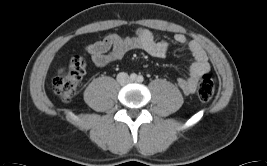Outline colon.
Masks as SVG:
<instances>
[{"label":"colon","mask_w":267,"mask_h":166,"mask_svg":"<svg viewBox=\"0 0 267 166\" xmlns=\"http://www.w3.org/2000/svg\"><path fill=\"white\" fill-rule=\"evenodd\" d=\"M86 71V63L81 57H74L69 64L59 70L53 79L52 87L57 96L64 102L70 101L77 93L82 77ZM214 95V82L210 75L201 77L198 87V97L201 102L208 103Z\"/></svg>","instance_id":"colon-1"}]
</instances>
